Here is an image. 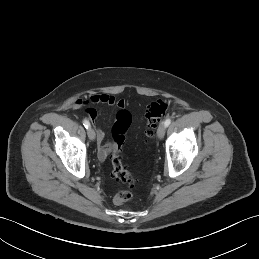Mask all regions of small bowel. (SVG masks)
Listing matches in <instances>:
<instances>
[{
    "mask_svg": "<svg viewBox=\"0 0 259 259\" xmlns=\"http://www.w3.org/2000/svg\"><path fill=\"white\" fill-rule=\"evenodd\" d=\"M86 104H104L108 106H116L118 109L122 110L125 108V101L123 99H117L113 95L109 94H93L88 97L86 101H76L74 103L75 107H82ZM87 115L92 122L97 119V112L92 108L87 109ZM97 141H98V158L101 161L106 160L108 157L113 144L110 142L104 143L105 132L100 127L96 128Z\"/></svg>",
    "mask_w": 259,
    "mask_h": 259,
    "instance_id": "c3829d8e",
    "label": "small bowel"
}]
</instances>
